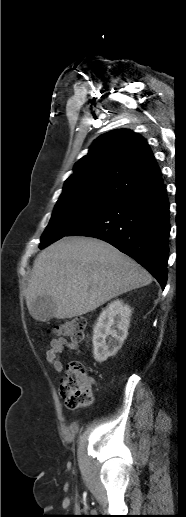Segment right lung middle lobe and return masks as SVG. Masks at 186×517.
Masks as SVG:
<instances>
[{"label": "right lung middle lobe", "mask_w": 186, "mask_h": 517, "mask_svg": "<svg viewBox=\"0 0 186 517\" xmlns=\"http://www.w3.org/2000/svg\"><path fill=\"white\" fill-rule=\"evenodd\" d=\"M118 199L98 195H74L59 198L39 247L44 248L67 236L77 227L113 205Z\"/></svg>", "instance_id": "right-lung-middle-lobe-1"}]
</instances>
